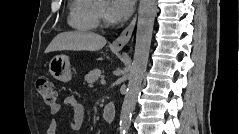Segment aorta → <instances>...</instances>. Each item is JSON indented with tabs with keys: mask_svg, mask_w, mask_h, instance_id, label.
<instances>
[{
	"mask_svg": "<svg viewBox=\"0 0 239 134\" xmlns=\"http://www.w3.org/2000/svg\"><path fill=\"white\" fill-rule=\"evenodd\" d=\"M156 12L157 0H140L132 70L120 114V134H127L131 125L137 94L148 64Z\"/></svg>",
	"mask_w": 239,
	"mask_h": 134,
	"instance_id": "1",
	"label": "aorta"
}]
</instances>
